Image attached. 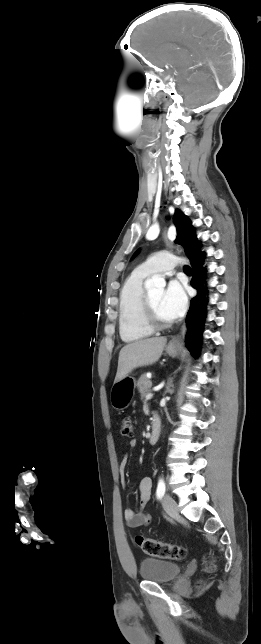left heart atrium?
I'll list each match as a JSON object with an SVG mask.
<instances>
[{"label": "left heart atrium", "mask_w": 261, "mask_h": 644, "mask_svg": "<svg viewBox=\"0 0 261 644\" xmlns=\"http://www.w3.org/2000/svg\"><path fill=\"white\" fill-rule=\"evenodd\" d=\"M162 305L171 320L183 315L187 307L184 287L178 280H171L163 293Z\"/></svg>", "instance_id": "obj_1"}]
</instances>
